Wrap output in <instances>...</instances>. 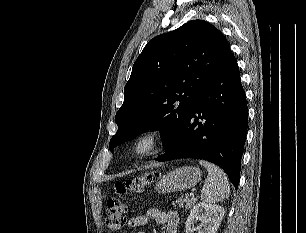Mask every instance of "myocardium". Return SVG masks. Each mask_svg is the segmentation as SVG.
<instances>
[{
	"instance_id": "obj_1",
	"label": "myocardium",
	"mask_w": 306,
	"mask_h": 233,
	"mask_svg": "<svg viewBox=\"0 0 306 233\" xmlns=\"http://www.w3.org/2000/svg\"><path fill=\"white\" fill-rule=\"evenodd\" d=\"M166 134L161 127L148 126L138 131L130 141L129 151L138 158L158 154L165 146Z\"/></svg>"
}]
</instances>
